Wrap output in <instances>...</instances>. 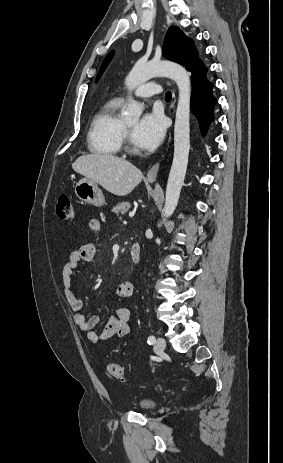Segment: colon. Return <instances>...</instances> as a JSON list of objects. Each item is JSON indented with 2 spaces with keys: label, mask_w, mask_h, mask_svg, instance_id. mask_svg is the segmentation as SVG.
Returning a JSON list of instances; mask_svg holds the SVG:
<instances>
[{
  "label": "colon",
  "mask_w": 283,
  "mask_h": 463,
  "mask_svg": "<svg viewBox=\"0 0 283 463\" xmlns=\"http://www.w3.org/2000/svg\"><path fill=\"white\" fill-rule=\"evenodd\" d=\"M56 213L61 220H72L74 218V207L69 196L62 195L59 197ZM107 370L109 375L113 378L121 381L126 380L124 369L119 364L109 363L107 365Z\"/></svg>",
  "instance_id": "1"
}]
</instances>
